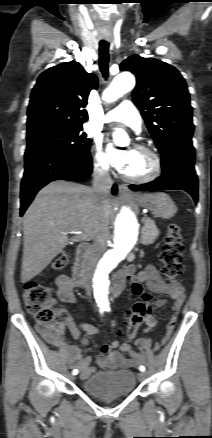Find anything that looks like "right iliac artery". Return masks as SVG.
<instances>
[{"label":"right iliac artery","instance_id":"82829eb1","mask_svg":"<svg viewBox=\"0 0 212 438\" xmlns=\"http://www.w3.org/2000/svg\"><path fill=\"white\" fill-rule=\"evenodd\" d=\"M105 311V309H100V312L101 313H103ZM72 374L73 375H77L78 374V370L77 369H74L73 371H72Z\"/></svg>","mask_w":212,"mask_h":438}]
</instances>
